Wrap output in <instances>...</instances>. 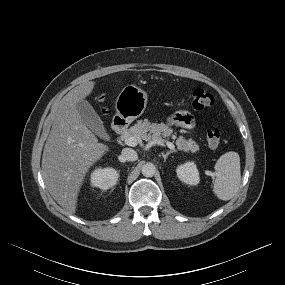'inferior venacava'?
I'll return each mask as SVG.
<instances>
[{"mask_svg":"<svg viewBox=\"0 0 285 285\" xmlns=\"http://www.w3.org/2000/svg\"><path fill=\"white\" fill-rule=\"evenodd\" d=\"M138 159L137 152L131 148H124L121 152V161H136Z\"/></svg>","mask_w":285,"mask_h":285,"instance_id":"obj_1","label":"inferior vena cava"}]
</instances>
